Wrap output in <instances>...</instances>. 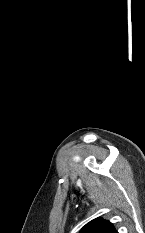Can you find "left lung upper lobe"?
<instances>
[{
    "instance_id": "5c2ea615",
    "label": "left lung upper lobe",
    "mask_w": 145,
    "mask_h": 233,
    "mask_svg": "<svg viewBox=\"0 0 145 233\" xmlns=\"http://www.w3.org/2000/svg\"><path fill=\"white\" fill-rule=\"evenodd\" d=\"M80 233H118L113 224L108 220L96 218L87 223Z\"/></svg>"
}]
</instances>
